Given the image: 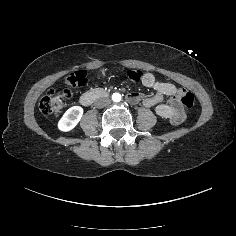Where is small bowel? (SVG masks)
Listing matches in <instances>:
<instances>
[{"label": "small bowel", "mask_w": 236, "mask_h": 236, "mask_svg": "<svg viewBox=\"0 0 236 236\" xmlns=\"http://www.w3.org/2000/svg\"><path fill=\"white\" fill-rule=\"evenodd\" d=\"M143 82L148 87L154 86V81L149 76H146ZM174 92H175V90H174Z\"/></svg>", "instance_id": "small-bowel-1"}]
</instances>
